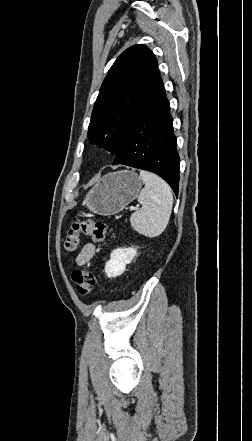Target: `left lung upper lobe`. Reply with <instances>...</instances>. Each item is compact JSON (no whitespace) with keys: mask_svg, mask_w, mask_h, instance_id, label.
Returning a JSON list of instances; mask_svg holds the SVG:
<instances>
[{"mask_svg":"<svg viewBox=\"0 0 252 441\" xmlns=\"http://www.w3.org/2000/svg\"><path fill=\"white\" fill-rule=\"evenodd\" d=\"M157 71L155 55L143 44L128 48L116 59L93 108L88 128L91 143L117 154L146 101Z\"/></svg>","mask_w":252,"mask_h":441,"instance_id":"1","label":"left lung upper lobe"}]
</instances>
